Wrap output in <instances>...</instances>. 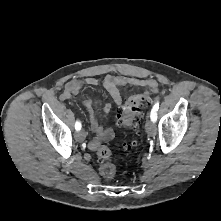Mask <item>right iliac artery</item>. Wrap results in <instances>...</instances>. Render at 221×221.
Here are the masks:
<instances>
[{"label":"right iliac artery","instance_id":"82829eb1","mask_svg":"<svg viewBox=\"0 0 221 221\" xmlns=\"http://www.w3.org/2000/svg\"><path fill=\"white\" fill-rule=\"evenodd\" d=\"M75 129H76L77 131H79V130L81 129V122H80V121H76V123H75Z\"/></svg>","mask_w":221,"mask_h":221}]
</instances>
